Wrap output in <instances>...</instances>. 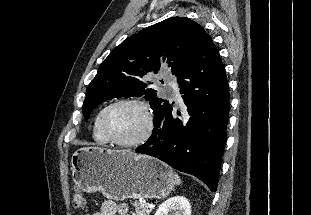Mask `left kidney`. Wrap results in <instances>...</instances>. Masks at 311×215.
I'll return each mask as SVG.
<instances>
[{"mask_svg": "<svg viewBox=\"0 0 311 215\" xmlns=\"http://www.w3.org/2000/svg\"><path fill=\"white\" fill-rule=\"evenodd\" d=\"M155 215H191V206L184 196H175L162 203Z\"/></svg>", "mask_w": 311, "mask_h": 215, "instance_id": "1", "label": "left kidney"}]
</instances>
